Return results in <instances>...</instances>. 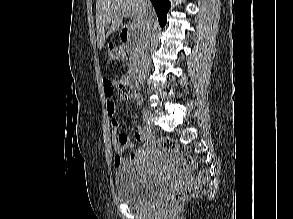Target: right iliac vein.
Here are the masks:
<instances>
[{
  "label": "right iliac vein",
  "instance_id": "1",
  "mask_svg": "<svg viewBox=\"0 0 293 219\" xmlns=\"http://www.w3.org/2000/svg\"><path fill=\"white\" fill-rule=\"evenodd\" d=\"M143 119H144V122H146V125H148L149 127L153 126V115L149 110L144 111Z\"/></svg>",
  "mask_w": 293,
  "mask_h": 219
}]
</instances>
